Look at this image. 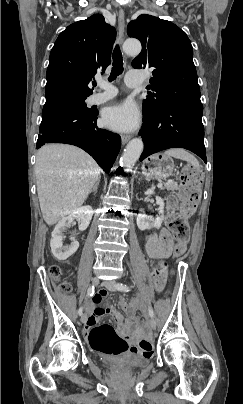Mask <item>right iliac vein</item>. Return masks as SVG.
I'll list each match as a JSON object with an SVG mask.
<instances>
[{
	"mask_svg": "<svg viewBox=\"0 0 243 404\" xmlns=\"http://www.w3.org/2000/svg\"><path fill=\"white\" fill-rule=\"evenodd\" d=\"M92 284L95 285V286L98 285V284H99V278H98V277H94V278L92 279ZM86 319H87L86 314H82V316H81V322L84 323V322L86 321Z\"/></svg>",
	"mask_w": 243,
	"mask_h": 404,
	"instance_id": "obj_1",
	"label": "right iliac vein"
}]
</instances>
